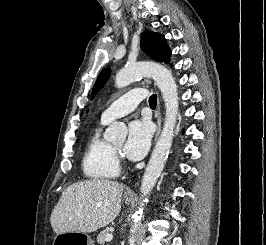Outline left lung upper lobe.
Instances as JSON below:
<instances>
[{
    "instance_id": "5c2ea615",
    "label": "left lung upper lobe",
    "mask_w": 266,
    "mask_h": 245,
    "mask_svg": "<svg viewBox=\"0 0 266 245\" xmlns=\"http://www.w3.org/2000/svg\"><path fill=\"white\" fill-rule=\"evenodd\" d=\"M141 49L150 58L156 61L169 62L171 54L163 35L151 31H145L141 36ZM110 75V69H104L93 87L92 97L105 84Z\"/></svg>"
}]
</instances>
